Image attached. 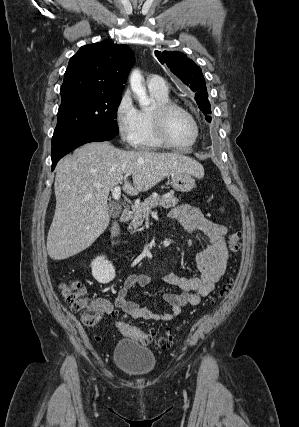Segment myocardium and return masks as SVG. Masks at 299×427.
I'll return each instance as SVG.
<instances>
[{
    "mask_svg": "<svg viewBox=\"0 0 299 427\" xmlns=\"http://www.w3.org/2000/svg\"><path fill=\"white\" fill-rule=\"evenodd\" d=\"M174 110H178L185 113L187 116L190 117V119L194 124V137H193V140L188 144L182 145V144L174 143L173 141H171V139L167 134L166 118L168 114ZM151 119H152V125H153L155 136L157 137V139L160 141L162 145L168 148L187 149L194 146L199 139V136H200L199 123L196 117L194 116V114L187 108L183 107L182 105H179L171 101L158 104L151 111Z\"/></svg>",
    "mask_w": 299,
    "mask_h": 427,
    "instance_id": "myocardium-1",
    "label": "myocardium"
}]
</instances>
